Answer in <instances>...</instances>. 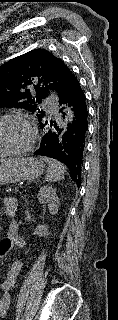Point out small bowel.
I'll list each match as a JSON object with an SVG mask.
<instances>
[{
  "instance_id": "small-bowel-1",
  "label": "small bowel",
  "mask_w": 118,
  "mask_h": 320,
  "mask_svg": "<svg viewBox=\"0 0 118 320\" xmlns=\"http://www.w3.org/2000/svg\"><path fill=\"white\" fill-rule=\"evenodd\" d=\"M3 203L5 206L6 212L10 214L13 213V209L15 208L14 199L12 197L5 196L3 197ZM12 229L16 230V226L12 225L11 230ZM14 245H17V244H13V246ZM22 267H23V263L20 260L13 262L8 268V270L6 271L2 282L0 283V315L6 314V312L10 307V301H11L10 291L16 283L17 278L22 270Z\"/></svg>"
}]
</instances>
